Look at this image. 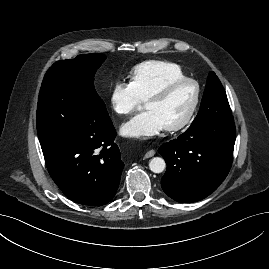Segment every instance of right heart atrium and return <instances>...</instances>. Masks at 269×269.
Segmentation results:
<instances>
[{"mask_svg": "<svg viewBox=\"0 0 269 269\" xmlns=\"http://www.w3.org/2000/svg\"><path fill=\"white\" fill-rule=\"evenodd\" d=\"M141 101L131 82L117 81L114 83L109 103L115 114L129 115L141 104Z\"/></svg>", "mask_w": 269, "mask_h": 269, "instance_id": "obj_1", "label": "right heart atrium"}]
</instances>
